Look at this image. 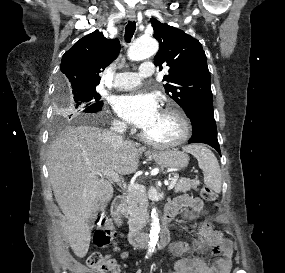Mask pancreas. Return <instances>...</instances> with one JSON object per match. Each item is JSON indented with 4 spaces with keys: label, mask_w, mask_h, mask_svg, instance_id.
Returning a JSON list of instances; mask_svg holds the SVG:
<instances>
[{
    "label": "pancreas",
    "mask_w": 285,
    "mask_h": 273,
    "mask_svg": "<svg viewBox=\"0 0 285 273\" xmlns=\"http://www.w3.org/2000/svg\"><path fill=\"white\" fill-rule=\"evenodd\" d=\"M198 185H200V181L198 179L189 180L182 178L176 182L174 191L176 193L187 192L191 189H196ZM127 199L128 215L130 218L136 220L138 225H140L147 214L148 199L146 192L143 189L128 190Z\"/></svg>",
    "instance_id": "cf45deb5"
}]
</instances>
